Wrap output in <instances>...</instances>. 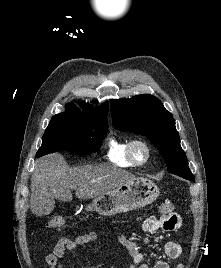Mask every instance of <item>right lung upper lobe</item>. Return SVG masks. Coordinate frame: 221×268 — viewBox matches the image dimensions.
<instances>
[{
  "instance_id": "1",
  "label": "right lung upper lobe",
  "mask_w": 221,
  "mask_h": 268,
  "mask_svg": "<svg viewBox=\"0 0 221 268\" xmlns=\"http://www.w3.org/2000/svg\"><path fill=\"white\" fill-rule=\"evenodd\" d=\"M80 107L83 111H80L74 105L68 103L66 105V112L61 113L62 115L73 116L80 118L82 120L95 123V124H107V115H108V103H104L102 106H99L95 109H92L89 104L85 102H79Z\"/></svg>"
}]
</instances>
